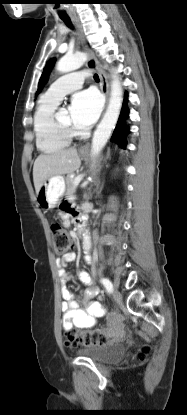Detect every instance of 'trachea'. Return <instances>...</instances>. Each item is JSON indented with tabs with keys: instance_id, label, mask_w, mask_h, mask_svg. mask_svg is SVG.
<instances>
[{
	"instance_id": "3493384b",
	"label": "trachea",
	"mask_w": 187,
	"mask_h": 415,
	"mask_svg": "<svg viewBox=\"0 0 187 415\" xmlns=\"http://www.w3.org/2000/svg\"><path fill=\"white\" fill-rule=\"evenodd\" d=\"M63 21L68 27L72 28V23L70 20L63 19ZM94 80L97 82L99 81V77L97 74L94 75Z\"/></svg>"
}]
</instances>
